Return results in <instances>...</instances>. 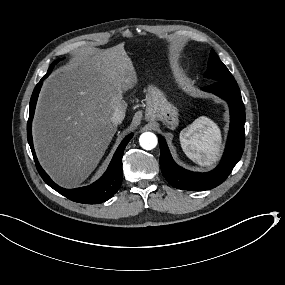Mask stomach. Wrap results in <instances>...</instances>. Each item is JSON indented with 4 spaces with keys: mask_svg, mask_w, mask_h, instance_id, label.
<instances>
[{
    "mask_svg": "<svg viewBox=\"0 0 285 285\" xmlns=\"http://www.w3.org/2000/svg\"><path fill=\"white\" fill-rule=\"evenodd\" d=\"M146 99L145 119L147 121L162 120L170 127L177 124V109L166 101L159 90L152 88Z\"/></svg>",
    "mask_w": 285,
    "mask_h": 285,
    "instance_id": "1",
    "label": "stomach"
}]
</instances>
